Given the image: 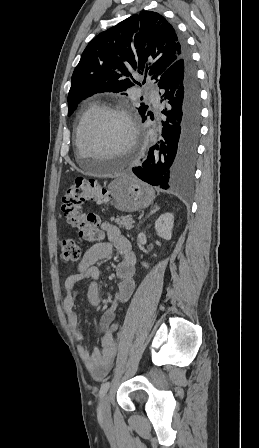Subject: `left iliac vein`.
Wrapping results in <instances>:
<instances>
[{
    "label": "left iliac vein",
    "instance_id": "1",
    "mask_svg": "<svg viewBox=\"0 0 259 448\" xmlns=\"http://www.w3.org/2000/svg\"><path fill=\"white\" fill-rule=\"evenodd\" d=\"M100 415L104 423H108L110 421L111 411H110V399L108 395H106L102 399L100 406Z\"/></svg>",
    "mask_w": 259,
    "mask_h": 448
}]
</instances>
